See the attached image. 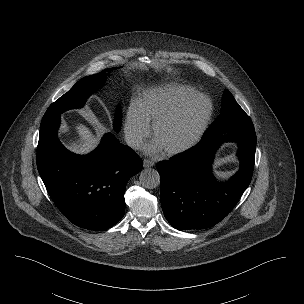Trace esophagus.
<instances>
[{"label":"esophagus","mask_w":304,"mask_h":304,"mask_svg":"<svg viewBox=\"0 0 304 304\" xmlns=\"http://www.w3.org/2000/svg\"><path fill=\"white\" fill-rule=\"evenodd\" d=\"M143 165L145 168H149V167H153L155 165V163L152 160L144 159Z\"/></svg>","instance_id":"34e87169"}]
</instances>
